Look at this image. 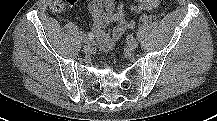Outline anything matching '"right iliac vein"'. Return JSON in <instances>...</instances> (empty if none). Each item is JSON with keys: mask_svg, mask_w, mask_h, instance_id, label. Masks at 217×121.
I'll return each mask as SVG.
<instances>
[{"mask_svg": "<svg viewBox=\"0 0 217 121\" xmlns=\"http://www.w3.org/2000/svg\"><path fill=\"white\" fill-rule=\"evenodd\" d=\"M83 50L85 53L90 54L93 52V47L90 44H86L83 46Z\"/></svg>", "mask_w": 217, "mask_h": 121, "instance_id": "63e3f726", "label": "right iliac vein"}]
</instances>
